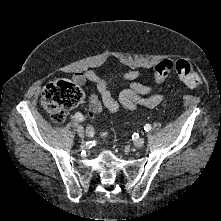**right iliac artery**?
<instances>
[{
    "instance_id": "1",
    "label": "right iliac artery",
    "mask_w": 221,
    "mask_h": 221,
    "mask_svg": "<svg viewBox=\"0 0 221 221\" xmlns=\"http://www.w3.org/2000/svg\"><path fill=\"white\" fill-rule=\"evenodd\" d=\"M75 118L79 121V122H82L83 121V116H82V114L81 113H76L75 114ZM109 132V131H108ZM101 133V132H100ZM107 134V133H106ZM98 135V134H97ZM100 136H102V135H100ZM102 137H106L105 135L104 136H102Z\"/></svg>"
}]
</instances>
